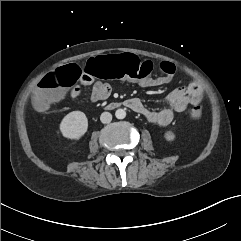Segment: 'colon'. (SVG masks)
Masks as SVG:
<instances>
[{"mask_svg": "<svg viewBox=\"0 0 241 241\" xmlns=\"http://www.w3.org/2000/svg\"><path fill=\"white\" fill-rule=\"evenodd\" d=\"M154 65L149 60H140L132 54L94 55L84 61L83 65L70 60L58 70L47 74L39 83L34 97V104L38 110H43L50 104L62 98L63 94L72 87L82 74L92 78L117 79L127 77L130 79H143L151 74ZM158 68L166 75L173 76L176 67L173 63L162 61ZM202 109L195 106L190 111L194 119L200 118Z\"/></svg>", "mask_w": 241, "mask_h": 241, "instance_id": "colon-1", "label": "colon"}]
</instances>
